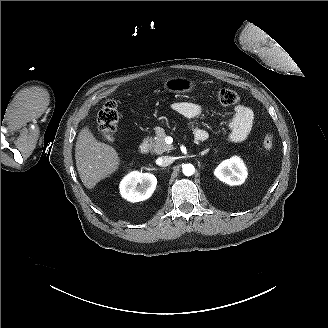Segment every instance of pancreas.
Masks as SVG:
<instances>
[{
	"mask_svg": "<svg viewBox=\"0 0 328 328\" xmlns=\"http://www.w3.org/2000/svg\"><path fill=\"white\" fill-rule=\"evenodd\" d=\"M156 136L154 138L147 137V141L150 145V150L156 154H162L164 152H170L174 149L173 145H168L165 143V130L161 127H155Z\"/></svg>",
	"mask_w": 328,
	"mask_h": 328,
	"instance_id": "1",
	"label": "pancreas"
}]
</instances>
